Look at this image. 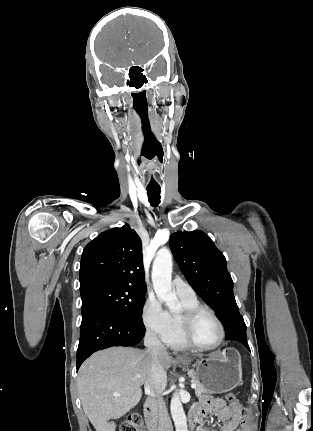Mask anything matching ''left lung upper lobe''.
Masks as SVG:
<instances>
[{
    "label": "left lung upper lobe",
    "instance_id": "left-lung-upper-lobe-1",
    "mask_svg": "<svg viewBox=\"0 0 313 431\" xmlns=\"http://www.w3.org/2000/svg\"><path fill=\"white\" fill-rule=\"evenodd\" d=\"M170 248L195 292L217 314L226 339H246V325L233 294V281L224 255L202 231H180L170 237Z\"/></svg>",
    "mask_w": 313,
    "mask_h": 431
}]
</instances>
